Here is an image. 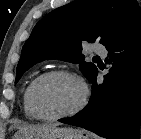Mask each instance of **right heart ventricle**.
Listing matches in <instances>:
<instances>
[{
	"label": "right heart ventricle",
	"mask_w": 141,
	"mask_h": 139,
	"mask_svg": "<svg viewBox=\"0 0 141 139\" xmlns=\"http://www.w3.org/2000/svg\"><path fill=\"white\" fill-rule=\"evenodd\" d=\"M32 82H33V80L27 85V87L24 90L22 105H23L24 114L27 118L38 119L37 116L31 110L30 105H29V101H28L29 88H30Z\"/></svg>",
	"instance_id": "right-heart-ventricle-1"
}]
</instances>
